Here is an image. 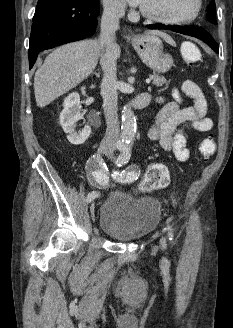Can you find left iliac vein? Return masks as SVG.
<instances>
[{
  "instance_id": "left-iliac-vein-1",
  "label": "left iliac vein",
  "mask_w": 233,
  "mask_h": 328,
  "mask_svg": "<svg viewBox=\"0 0 233 328\" xmlns=\"http://www.w3.org/2000/svg\"><path fill=\"white\" fill-rule=\"evenodd\" d=\"M107 156H108V158L112 159L113 158L112 152L109 151L107 153ZM161 247H162V249H165V247H166V243H165V239L164 238L161 239Z\"/></svg>"
}]
</instances>
